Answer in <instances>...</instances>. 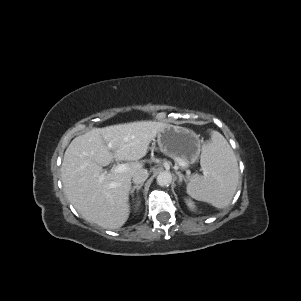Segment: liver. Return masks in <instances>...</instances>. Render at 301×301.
Returning <instances> with one entry per match:
<instances>
[{"mask_svg":"<svg viewBox=\"0 0 301 301\" xmlns=\"http://www.w3.org/2000/svg\"><path fill=\"white\" fill-rule=\"evenodd\" d=\"M166 126L156 121H138L92 129L72 140L65 151L61 178L69 201L87 221L118 229L130 213L131 178L143 167L138 160ZM109 144L112 145L109 150ZM131 161L122 173H103L113 160Z\"/></svg>","mask_w":301,"mask_h":301,"instance_id":"obj_1","label":"liver"}]
</instances>
